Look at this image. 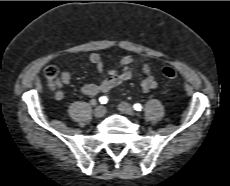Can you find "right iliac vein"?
Masks as SVG:
<instances>
[{"label":"right iliac vein","mask_w":230,"mask_h":186,"mask_svg":"<svg viewBox=\"0 0 230 186\" xmlns=\"http://www.w3.org/2000/svg\"><path fill=\"white\" fill-rule=\"evenodd\" d=\"M106 113V108L103 105H99L94 110L95 117H103Z\"/></svg>","instance_id":"right-iliac-vein-1"}]
</instances>
